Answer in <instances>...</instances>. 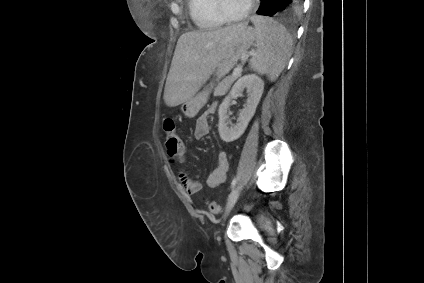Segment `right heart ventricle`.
<instances>
[{
	"label": "right heart ventricle",
	"instance_id": "1",
	"mask_svg": "<svg viewBox=\"0 0 424 283\" xmlns=\"http://www.w3.org/2000/svg\"><path fill=\"white\" fill-rule=\"evenodd\" d=\"M190 16L201 30H214L225 24L215 7V0H188Z\"/></svg>",
	"mask_w": 424,
	"mask_h": 283
}]
</instances>
